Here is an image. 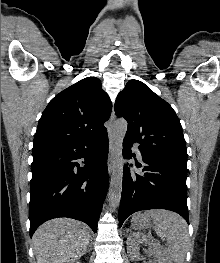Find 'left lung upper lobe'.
Instances as JSON below:
<instances>
[{
	"instance_id": "5c2ea615",
	"label": "left lung upper lobe",
	"mask_w": 220,
	"mask_h": 263,
	"mask_svg": "<svg viewBox=\"0 0 220 263\" xmlns=\"http://www.w3.org/2000/svg\"><path fill=\"white\" fill-rule=\"evenodd\" d=\"M115 113L128 122L127 139L144 151L187 169L182 126L173 108L139 80H130L115 102Z\"/></svg>"
}]
</instances>
